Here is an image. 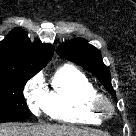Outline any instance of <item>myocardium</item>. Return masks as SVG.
<instances>
[{
    "label": "myocardium",
    "mask_w": 136,
    "mask_h": 136,
    "mask_svg": "<svg viewBox=\"0 0 136 136\" xmlns=\"http://www.w3.org/2000/svg\"><path fill=\"white\" fill-rule=\"evenodd\" d=\"M91 109L100 119H106L114 114L115 106L112 100L104 95L98 93L90 103Z\"/></svg>",
    "instance_id": "1"
}]
</instances>
